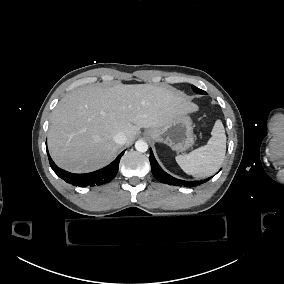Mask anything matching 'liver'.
<instances>
[{
	"label": "liver",
	"mask_w": 284,
	"mask_h": 284,
	"mask_svg": "<svg viewBox=\"0 0 284 284\" xmlns=\"http://www.w3.org/2000/svg\"><path fill=\"white\" fill-rule=\"evenodd\" d=\"M198 106L185 94L151 84L88 85L60 100L53 111L48 147L55 163L70 172L87 173L109 164L121 148L113 137L122 132L126 144L140 128L160 127Z\"/></svg>",
	"instance_id": "liver-1"
}]
</instances>
